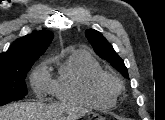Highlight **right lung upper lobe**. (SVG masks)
Returning <instances> with one entry per match:
<instances>
[{"instance_id":"right-lung-upper-lobe-1","label":"right lung upper lobe","mask_w":165,"mask_h":120,"mask_svg":"<svg viewBox=\"0 0 165 120\" xmlns=\"http://www.w3.org/2000/svg\"><path fill=\"white\" fill-rule=\"evenodd\" d=\"M54 35L47 30L33 31L16 39L7 52L0 54V63L38 59L50 45Z\"/></svg>"}]
</instances>
